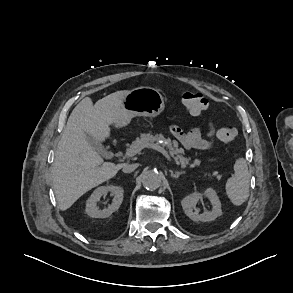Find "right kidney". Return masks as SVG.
<instances>
[{
	"instance_id": "ca27d5eb",
	"label": "right kidney",
	"mask_w": 293,
	"mask_h": 293,
	"mask_svg": "<svg viewBox=\"0 0 293 293\" xmlns=\"http://www.w3.org/2000/svg\"><path fill=\"white\" fill-rule=\"evenodd\" d=\"M111 192L114 195L112 203L103 210L98 209L97 203L103 195ZM124 190L118 186H100L94 190L86 203V213L92 218H106L119 209L123 200Z\"/></svg>"
}]
</instances>
